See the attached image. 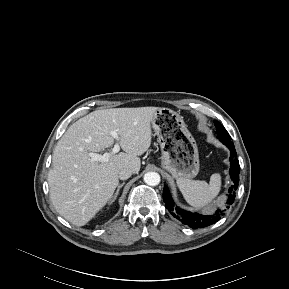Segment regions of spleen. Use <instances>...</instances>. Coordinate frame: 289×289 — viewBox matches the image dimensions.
I'll return each mask as SVG.
<instances>
[{"label": "spleen", "instance_id": "3e777b00", "mask_svg": "<svg viewBox=\"0 0 289 289\" xmlns=\"http://www.w3.org/2000/svg\"><path fill=\"white\" fill-rule=\"evenodd\" d=\"M177 185L187 203L194 208H201L220 192L221 176L218 173L212 174L209 183L204 180L179 179Z\"/></svg>", "mask_w": 289, "mask_h": 289}]
</instances>
